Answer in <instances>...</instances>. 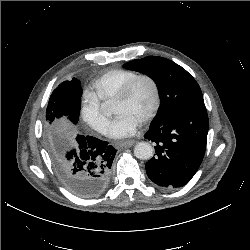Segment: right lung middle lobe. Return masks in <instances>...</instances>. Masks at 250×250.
<instances>
[{
	"label": "right lung middle lobe",
	"instance_id": "dd1d6c3e",
	"mask_svg": "<svg viewBox=\"0 0 250 250\" xmlns=\"http://www.w3.org/2000/svg\"><path fill=\"white\" fill-rule=\"evenodd\" d=\"M82 87L81 82L73 78L71 81L62 82L51 94L46 109L45 130L48 142V148L55 167L61 160L64 150L58 144V141L51 136L53 128L52 122L56 118L66 116L74 124H77L81 106Z\"/></svg>",
	"mask_w": 250,
	"mask_h": 250
}]
</instances>
